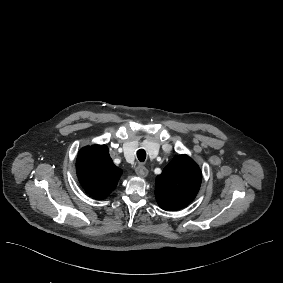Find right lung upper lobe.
Listing matches in <instances>:
<instances>
[{
    "mask_svg": "<svg viewBox=\"0 0 283 283\" xmlns=\"http://www.w3.org/2000/svg\"><path fill=\"white\" fill-rule=\"evenodd\" d=\"M76 168L82 187L98 200L106 198L114 190L122 173L114 165L106 145L82 148L77 156Z\"/></svg>",
    "mask_w": 283,
    "mask_h": 283,
    "instance_id": "right-lung-upper-lobe-1",
    "label": "right lung upper lobe"
}]
</instances>
